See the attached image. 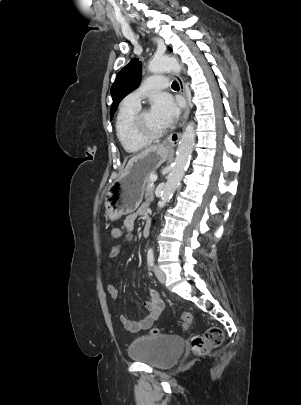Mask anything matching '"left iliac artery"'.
Instances as JSON below:
<instances>
[{
    "mask_svg": "<svg viewBox=\"0 0 301 405\" xmlns=\"http://www.w3.org/2000/svg\"><path fill=\"white\" fill-rule=\"evenodd\" d=\"M147 263L150 267H152L154 265V253L152 248L148 249V253H147Z\"/></svg>",
    "mask_w": 301,
    "mask_h": 405,
    "instance_id": "left-iliac-artery-1",
    "label": "left iliac artery"
}]
</instances>
